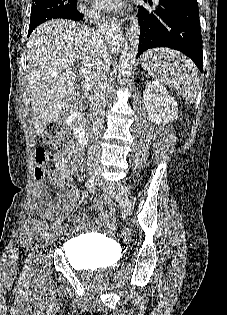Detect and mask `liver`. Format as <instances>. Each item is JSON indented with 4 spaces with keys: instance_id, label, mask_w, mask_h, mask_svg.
Returning a JSON list of instances; mask_svg holds the SVG:
<instances>
[{
    "instance_id": "liver-1",
    "label": "liver",
    "mask_w": 227,
    "mask_h": 315,
    "mask_svg": "<svg viewBox=\"0 0 227 315\" xmlns=\"http://www.w3.org/2000/svg\"><path fill=\"white\" fill-rule=\"evenodd\" d=\"M27 90L37 135L62 114L74 98V64L92 72L108 50L93 29L71 20H51L37 27L27 43Z\"/></svg>"
}]
</instances>
